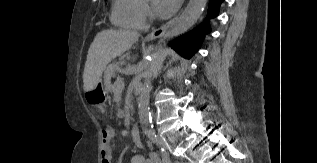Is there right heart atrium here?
Wrapping results in <instances>:
<instances>
[{
  "label": "right heart atrium",
  "mask_w": 317,
  "mask_h": 163,
  "mask_svg": "<svg viewBox=\"0 0 317 163\" xmlns=\"http://www.w3.org/2000/svg\"><path fill=\"white\" fill-rule=\"evenodd\" d=\"M143 15H144L146 20L150 17V9L146 5V3L143 4Z\"/></svg>",
  "instance_id": "obj_1"
}]
</instances>
